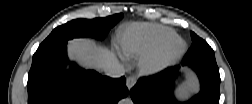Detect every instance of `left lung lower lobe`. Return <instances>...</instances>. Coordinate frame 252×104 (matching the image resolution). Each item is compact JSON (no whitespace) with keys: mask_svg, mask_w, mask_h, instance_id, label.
Here are the masks:
<instances>
[{"mask_svg":"<svg viewBox=\"0 0 252 104\" xmlns=\"http://www.w3.org/2000/svg\"><path fill=\"white\" fill-rule=\"evenodd\" d=\"M197 74L200 92L189 101L179 102L175 99L174 82L179 75V66L168 68L157 75L141 78L130 90L134 104H219L220 74L216 62L199 61L187 63Z\"/></svg>","mask_w":252,"mask_h":104,"instance_id":"left-lung-lower-lobe-1","label":"left lung lower lobe"}]
</instances>
